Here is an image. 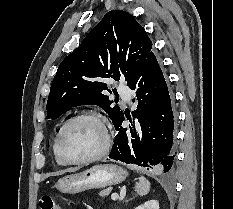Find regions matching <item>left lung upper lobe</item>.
Returning <instances> with one entry per match:
<instances>
[{
	"label": "left lung upper lobe",
	"instance_id": "left-lung-upper-lobe-1",
	"mask_svg": "<svg viewBox=\"0 0 233 209\" xmlns=\"http://www.w3.org/2000/svg\"><path fill=\"white\" fill-rule=\"evenodd\" d=\"M145 29L128 12L112 10L60 64L47 100V115L56 119L80 105H98L114 123L123 113L111 106L104 79L127 84L153 52Z\"/></svg>",
	"mask_w": 233,
	"mask_h": 209
}]
</instances>
